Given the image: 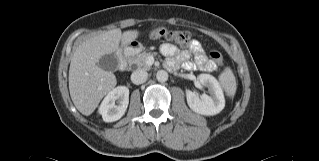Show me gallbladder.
<instances>
[{"instance_id":"obj_1","label":"gallbladder","mask_w":319,"mask_h":161,"mask_svg":"<svg viewBox=\"0 0 319 161\" xmlns=\"http://www.w3.org/2000/svg\"><path fill=\"white\" fill-rule=\"evenodd\" d=\"M118 58L115 54H106L99 59L97 65L105 71H115L118 67Z\"/></svg>"}]
</instances>
